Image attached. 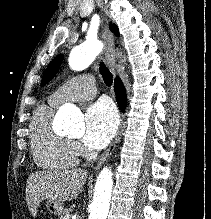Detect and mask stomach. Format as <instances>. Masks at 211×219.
I'll list each match as a JSON object with an SVG mask.
<instances>
[{
  "label": "stomach",
  "instance_id": "0dacf381",
  "mask_svg": "<svg viewBox=\"0 0 211 219\" xmlns=\"http://www.w3.org/2000/svg\"><path fill=\"white\" fill-rule=\"evenodd\" d=\"M45 206L51 214L60 215L63 212V205L60 202L47 200Z\"/></svg>",
  "mask_w": 211,
  "mask_h": 219
}]
</instances>
